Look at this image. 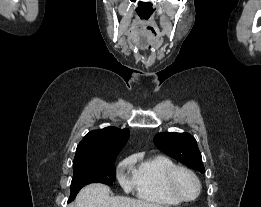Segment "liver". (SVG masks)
I'll use <instances>...</instances> for the list:
<instances>
[{
  "label": "liver",
  "mask_w": 261,
  "mask_h": 207,
  "mask_svg": "<svg viewBox=\"0 0 261 207\" xmlns=\"http://www.w3.org/2000/svg\"><path fill=\"white\" fill-rule=\"evenodd\" d=\"M110 188L101 183L83 187L77 195L75 204L69 207H164L145 200L109 195Z\"/></svg>",
  "instance_id": "6515ba94"
}]
</instances>
